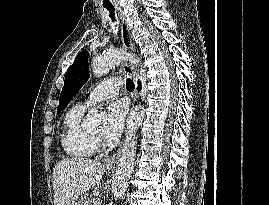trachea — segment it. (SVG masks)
I'll use <instances>...</instances> for the list:
<instances>
[{
    "label": "trachea",
    "mask_w": 269,
    "mask_h": 205,
    "mask_svg": "<svg viewBox=\"0 0 269 205\" xmlns=\"http://www.w3.org/2000/svg\"><path fill=\"white\" fill-rule=\"evenodd\" d=\"M104 7L109 11V16L112 20V22H115L116 21V18H115V10H114V7L113 6H110V5H104ZM126 89L131 92L134 90V83L133 81L130 79V78H127L126 79Z\"/></svg>",
    "instance_id": "obj_1"
}]
</instances>
